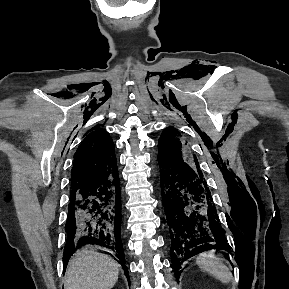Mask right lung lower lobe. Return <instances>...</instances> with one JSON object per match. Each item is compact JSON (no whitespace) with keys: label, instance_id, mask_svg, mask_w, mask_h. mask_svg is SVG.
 I'll list each match as a JSON object with an SVG mask.
<instances>
[{"label":"right lung lower lobe","instance_id":"right-lung-lower-lobe-1","mask_svg":"<svg viewBox=\"0 0 289 289\" xmlns=\"http://www.w3.org/2000/svg\"><path fill=\"white\" fill-rule=\"evenodd\" d=\"M121 193L118 171L106 174L78 189H72L68 205L67 233L63 263L84 245L109 251L123 267L128 281L122 246Z\"/></svg>","mask_w":289,"mask_h":289}]
</instances>
